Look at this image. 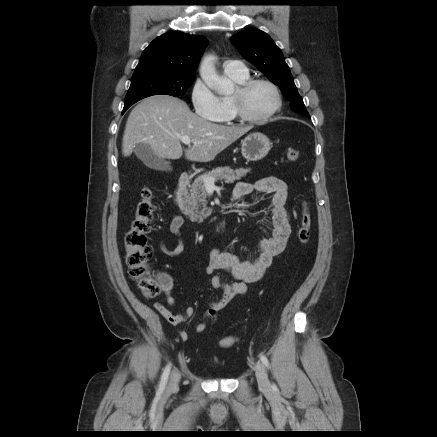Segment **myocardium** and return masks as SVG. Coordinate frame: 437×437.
I'll list each match as a JSON object with an SVG mask.
<instances>
[{"mask_svg": "<svg viewBox=\"0 0 437 437\" xmlns=\"http://www.w3.org/2000/svg\"><path fill=\"white\" fill-rule=\"evenodd\" d=\"M258 84L267 85L272 89L275 96V104L274 107L271 109V111L268 112L266 115L261 117H254L247 113L245 109L244 101L248 92L255 85ZM231 100L236 117L239 120L250 124H261L269 121L273 116H275L279 112L282 106V96L279 88L275 83L264 78L248 79L245 82L239 84L235 93L231 96Z\"/></svg>", "mask_w": 437, "mask_h": 437, "instance_id": "1", "label": "myocardium"}]
</instances>
